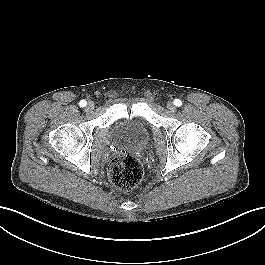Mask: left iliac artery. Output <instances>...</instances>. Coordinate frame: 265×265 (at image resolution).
Returning a JSON list of instances; mask_svg holds the SVG:
<instances>
[{
  "label": "left iliac artery",
  "mask_w": 265,
  "mask_h": 265,
  "mask_svg": "<svg viewBox=\"0 0 265 265\" xmlns=\"http://www.w3.org/2000/svg\"><path fill=\"white\" fill-rule=\"evenodd\" d=\"M174 105H176V106H181L182 105V102H181V100H179V99H175L174 100Z\"/></svg>",
  "instance_id": "left-iliac-artery-1"
}]
</instances>
